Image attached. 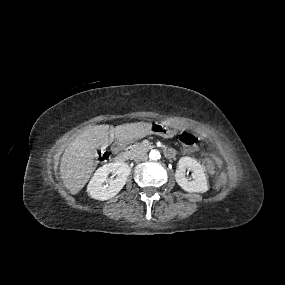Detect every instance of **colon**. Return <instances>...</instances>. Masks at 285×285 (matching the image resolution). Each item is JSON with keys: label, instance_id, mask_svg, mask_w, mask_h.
<instances>
[{"label": "colon", "instance_id": "1", "mask_svg": "<svg viewBox=\"0 0 285 285\" xmlns=\"http://www.w3.org/2000/svg\"><path fill=\"white\" fill-rule=\"evenodd\" d=\"M179 139L183 143L186 149L192 150L197 148L200 145V140L197 137H194L193 134L189 133L188 131H182L179 134ZM226 183V176L224 174H218L215 177V187L221 188Z\"/></svg>", "mask_w": 285, "mask_h": 285}]
</instances>
